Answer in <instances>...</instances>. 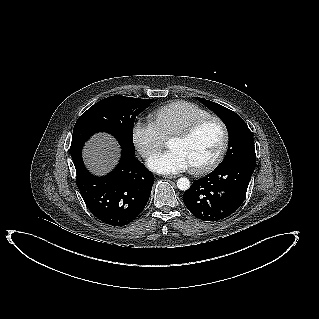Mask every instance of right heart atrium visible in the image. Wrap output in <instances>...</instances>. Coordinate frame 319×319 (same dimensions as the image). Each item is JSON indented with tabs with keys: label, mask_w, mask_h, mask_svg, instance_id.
Listing matches in <instances>:
<instances>
[{
	"label": "right heart atrium",
	"mask_w": 319,
	"mask_h": 319,
	"mask_svg": "<svg viewBox=\"0 0 319 319\" xmlns=\"http://www.w3.org/2000/svg\"><path fill=\"white\" fill-rule=\"evenodd\" d=\"M133 145L144 158L148 159L157 153L165 143V139L151 122L137 121L131 130Z\"/></svg>",
	"instance_id": "right-heart-atrium-1"
}]
</instances>
